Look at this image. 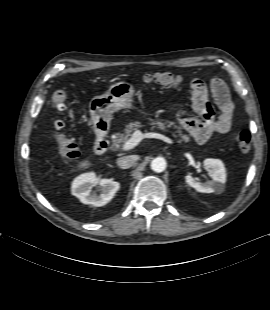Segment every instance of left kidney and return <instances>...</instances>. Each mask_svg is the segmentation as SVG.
<instances>
[{
  "label": "left kidney",
  "mask_w": 270,
  "mask_h": 310,
  "mask_svg": "<svg viewBox=\"0 0 270 310\" xmlns=\"http://www.w3.org/2000/svg\"><path fill=\"white\" fill-rule=\"evenodd\" d=\"M203 165L211 170L212 180L201 183L191 175H187L185 176L186 184L201 193H222L226 182V170L223 162L219 159L207 158L203 161Z\"/></svg>",
  "instance_id": "1"
}]
</instances>
